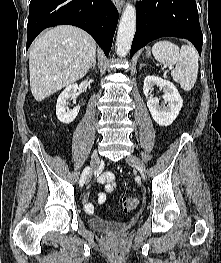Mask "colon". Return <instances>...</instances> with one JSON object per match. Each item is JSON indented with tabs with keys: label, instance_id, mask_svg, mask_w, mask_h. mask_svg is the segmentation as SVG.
Listing matches in <instances>:
<instances>
[{
	"label": "colon",
	"instance_id": "5ec220e1",
	"mask_svg": "<svg viewBox=\"0 0 221 263\" xmlns=\"http://www.w3.org/2000/svg\"><path fill=\"white\" fill-rule=\"evenodd\" d=\"M139 201L136 197H128L122 200L121 209L124 212H130L137 209Z\"/></svg>",
	"mask_w": 221,
	"mask_h": 263
}]
</instances>
